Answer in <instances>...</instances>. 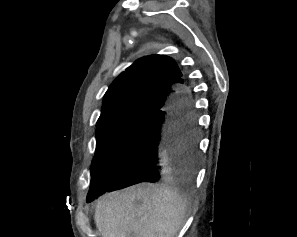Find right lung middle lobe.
<instances>
[{"instance_id":"obj_1","label":"right lung middle lobe","mask_w":297,"mask_h":237,"mask_svg":"<svg viewBox=\"0 0 297 237\" xmlns=\"http://www.w3.org/2000/svg\"><path fill=\"white\" fill-rule=\"evenodd\" d=\"M150 115L137 114L97 126L96 152L91 165L87 197L110 187L118 169L146 127Z\"/></svg>"}]
</instances>
